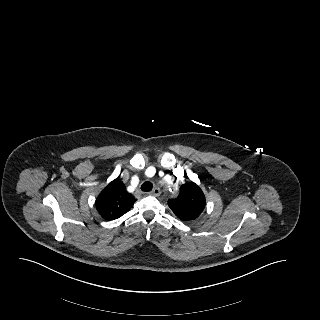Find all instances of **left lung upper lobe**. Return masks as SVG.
<instances>
[{
  "label": "left lung upper lobe",
  "mask_w": 320,
  "mask_h": 320,
  "mask_svg": "<svg viewBox=\"0 0 320 320\" xmlns=\"http://www.w3.org/2000/svg\"><path fill=\"white\" fill-rule=\"evenodd\" d=\"M168 206L179 219L194 220L205 207V196L195 183L188 182L180 187L177 198L168 201Z\"/></svg>",
  "instance_id": "left-lung-upper-lobe-1"
}]
</instances>
